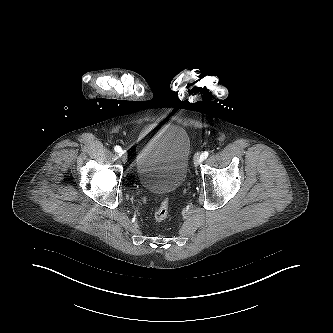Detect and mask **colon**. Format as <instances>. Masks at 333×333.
Listing matches in <instances>:
<instances>
[{"label":"colon","mask_w":333,"mask_h":333,"mask_svg":"<svg viewBox=\"0 0 333 333\" xmlns=\"http://www.w3.org/2000/svg\"><path fill=\"white\" fill-rule=\"evenodd\" d=\"M169 212V198L164 196L160 201L158 208L154 212V219L157 222H162L168 217Z\"/></svg>","instance_id":"1"}]
</instances>
